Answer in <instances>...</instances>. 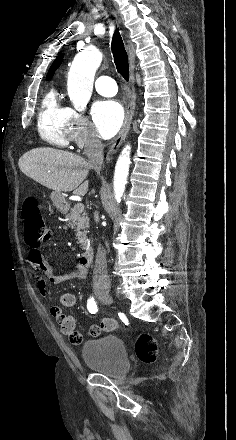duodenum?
<instances>
[{
	"label": "duodenum",
	"instance_id": "410a0bca",
	"mask_svg": "<svg viewBox=\"0 0 236 440\" xmlns=\"http://www.w3.org/2000/svg\"><path fill=\"white\" fill-rule=\"evenodd\" d=\"M93 260V250L92 248H86L81 255L80 263L83 268H89Z\"/></svg>",
	"mask_w": 236,
	"mask_h": 440
}]
</instances>
